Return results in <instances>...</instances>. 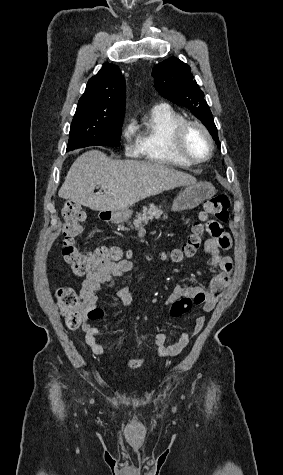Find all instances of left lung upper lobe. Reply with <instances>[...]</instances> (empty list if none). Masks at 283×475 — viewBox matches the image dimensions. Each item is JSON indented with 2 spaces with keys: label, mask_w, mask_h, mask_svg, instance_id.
<instances>
[{
  "label": "left lung upper lobe",
  "mask_w": 283,
  "mask_h": 475,
  "mask_svg": "<svg viewBox=\"0 0 283 475\" xmlns=\"http://www.w3.org/2000/svg\"><path fill=\"white\" fill-rule=\"evenodd\" d=\"M152 76L155 77V87L160 95L178 105L187 107L207 127L220 148L212 113L203 98V91L193 80L190 67L172 57L156 65Z\"/></svg>",
  "instance_id": "left-lung-upper-lobe-1"
}]
</instances>
